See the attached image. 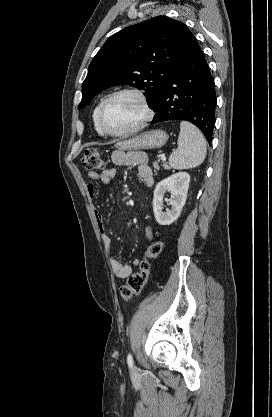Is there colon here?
<instances>
[{"label":"colon","mask_w":272,"mask_h":417,"mask_svg":"<svg viewBox=\"0 0 272 417\" xmlns=\"http://www.w3.org/2000/svg\"><path fill=\"white\" fill-rule=\"evenodd\" d=\"M81 162L87 170H102L105 168V161L94 148L85 151ZM164 246L165 244L162 241L154 242L148 246L145 256L140 262L139 272L131 274L125 284L120 287V296L124 302H128L142 291L150 273V259L161 254Z\"/></svg>","instance_id":"colon-1"}]
</instances>
